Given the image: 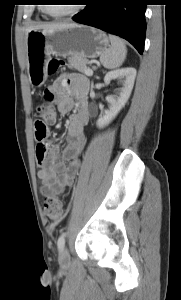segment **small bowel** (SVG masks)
Here are the masks:
<instances>
[{"label": "small bowel", "mask_w": 181, "mask_h": 300, "mask_svg": "<svg viewBox=\"0 0 181 300\" xmlns=\"http://www.w3.org/2000/svg\"><path fill=\"white\" fill-rule=\"evenodd\" d=\"M88 79L79 74H62L47 89L53 96L60 114L66 115L73 105L74 96L77 109L70 116L63 148L52 141L37 145L36 160L39 165L38 178L42 181L41 192L45 197L62 193L72 185L80 168V155L86 144L85 127L90 115L87 93Z\"/></svg>", "instance_id": "c3829d8e"}]
</instances>
